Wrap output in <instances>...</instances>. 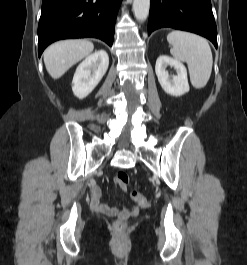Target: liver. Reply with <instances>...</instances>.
Wrapping results in <instances>:
<instances>
[{
	"label": "liver",
	"mask_w": 247,
	"mask_h": 265,
	"mask_svg": "<svg viewBox=\"0 0 247 265\" xmlns=\"http://www.w3.org/2000/svg\"><path fill=\"white\" fill-rule=\"evenodd\" d=\"M93 49V43L87 40L56 42L43 54L45 67L53 79H58L74 64L90 55Z\"/></svg>",
	"instance_id": "liver-1"
}]
</instances>
